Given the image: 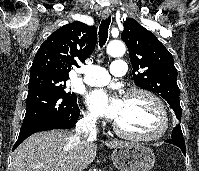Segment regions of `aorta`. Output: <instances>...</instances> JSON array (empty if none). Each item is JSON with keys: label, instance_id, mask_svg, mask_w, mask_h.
I'll use <instances>...</instances> for the list:
<instances>
[{"label": "aorta", "instance_id": "762f6f07", "mask_svg": "<svg viewBox=\"0 0 199 171\" xmlns=\"http://www.w3.org/2000/svg\"><path fill=\"white\" fill-rule=\"evenodd\" d=\"M125 45L123 42L115 40L111 41L107 46V53L113 57L122 56L125 53Z\"/></svg>", "mask_w": 199, "mask_h": 171}]
</instances>
